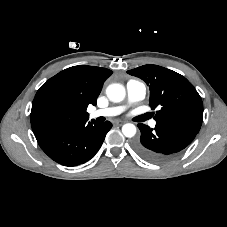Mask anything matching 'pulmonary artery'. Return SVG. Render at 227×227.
Instances as JSON below:
<instances>
[{"instance_id":"pulmonary-artery-1","label":"pulmonary artery","mask_w":227,"mask_h":227,"mask_svg":"<svg viewBox=\"0 0 227 227\" xmlns=\"http://www.w3.org/2000/svg\"><path fill=\"white\" fill-rule=\"evenodd\" d=\"M127 101L123 105L108 107L104 109H97L89 113L91 119L98 117H112L121 114L129 106L140 102L145 98L146 86L138 80H129L126 85ZM156 122L151 121V126H155Z\"/></svg>"}]
</instances>
